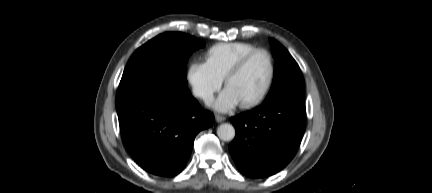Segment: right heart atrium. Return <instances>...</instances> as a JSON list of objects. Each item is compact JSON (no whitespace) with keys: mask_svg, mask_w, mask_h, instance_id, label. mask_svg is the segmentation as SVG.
I'll use <instances>...</instances> for the list:
<instances>
[{"mask_svg":"<svg viewBox=\"0 0 432 193\" xmlns=\"http://www.w3.org/2000/svg\"><path fill=\"white\" fill-rule=\"evenodd\" d=\"M187 80L194 95L206 102L212 100L214 94L219 91L222 85V80L203 61L190 64L187 71Z\"/></svg>","mask_w":432,"mask_h":193,"instance_id":"right-heart-atrium-1","label":"right heart atrium"}]
</instances>
